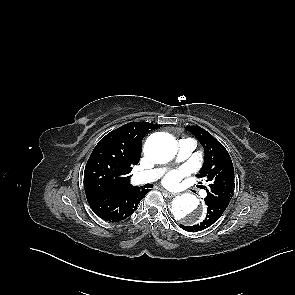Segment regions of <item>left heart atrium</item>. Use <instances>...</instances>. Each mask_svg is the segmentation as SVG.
I'll return each mask as SVG.
<instances>
[{
    "mask_svg": "<svg viewBox=\"0 0 295 295\" xmlns=\"http://www.w3.org/2000/svg\"><path fill=\"white\" fill-rule=\"evenodd\" d=\"M188 173L187 169L181 168L178 170L170 171L164 178L163 184L169 188L176 187L180 180Z\"/></svg>",
    "mask_w": 295,
    "mask_h": 295,
    "instance_id": "left-heart-atrium-1",
    "label": "left heart atrium"
}]
</instances>
